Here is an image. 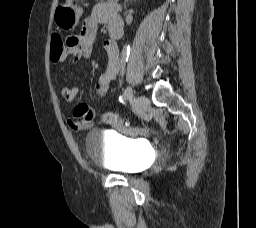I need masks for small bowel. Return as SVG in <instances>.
<instances>
[{
  "label": "small bowel",
  "mask_w": 256,
  "mask_h": 228,
  "mask_svg": "<svg viewBox=\"0 0 256 228\" xmlns=\"http://www.w3.org/2000/svg\"><path fill=\"white\" fill-rule=\"evenodd\" d=\"M118 6L115 3H104L95 7L91 16H89L82 25L78 35L70 36L64 47L61 56L52 60L55 63H61L68 57H73L74 62L90 58L92 46L97 34L98 25L107 23L111 28L116 23L122 21L118 16ZM103 48L107 54L108 62L105 71L99 76L94 91L98 97H103L109 91L112 83L117 81L120 71V55L116 42L108 39L104 42ZM79 93L78 87H63L60 90L61 96L67 102H73ZM74 119L68 121L69 126L75 131H84L92 126L95 113L92 107L86 103H79L73 111ZM122 132H128V129L121 128Z\"/></svg>",
  "instance_id": "c3829d8e"
}]
</instances>
